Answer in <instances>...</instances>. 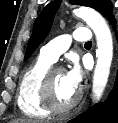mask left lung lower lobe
Masks as SVG:
<instances>
[{"label": "left lung lower lobe", "mask_w": 118, "mask_h": 123, "mask_svg": "<svg viewBox=\"0 0 118 123\" xmlns=\"http://www.w3.org/2000/svg\"><path fill=\"white\" fill-rule=\"evenodd\" d=\"M115 26L114 17L109 19ZM69 123H118V73L114 88L106 104L95 105L86 114H80Z\"/></svg>", "instance_id": "1"}]
</instances>
